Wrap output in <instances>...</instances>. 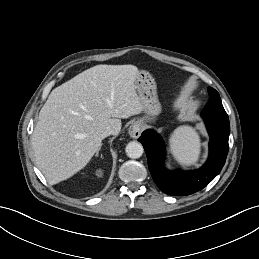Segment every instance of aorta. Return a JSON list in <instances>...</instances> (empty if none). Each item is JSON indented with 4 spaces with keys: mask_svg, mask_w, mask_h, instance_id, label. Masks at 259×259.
I'll return each instance as SVG.
<instances>
[{
    "mask_svg": "<svg viewBox=\"0 0 259 259\" xmlns=\"http://www.w3.org/2000/svg\"><path fill=\"white\" fill-rule=\"evenodd\" d=\"M143 151L144 149L142 144L136 141L129 142L125 148L126 155L132 159L140 158Z\"/></svg>",
    "mask_w": 259,
    "mask_h": 259,
    "instance_id": "1",
    "label": "aorta"
}]
</instances>
